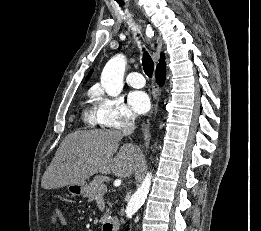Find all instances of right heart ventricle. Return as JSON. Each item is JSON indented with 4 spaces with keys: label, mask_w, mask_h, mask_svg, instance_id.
Wrapping results in <instances>:
<instances>
[{
    "label": "right heart ventricle",
    "mask_w": 261,
    "mask_h": 231,
    "mask_svg": "<svg viewBox=\"0 0 261 231\" xmlns=\"http://www.w3.org/2000/svg\"><path fill=\"white\" fill-rule=\"evenodd\" d=\"M82 120L86 125L90 127H96L100 124L95 107H86L82 112Z\"/></svg>",
    "instance_id": "obj_1"
}]
</instances>
